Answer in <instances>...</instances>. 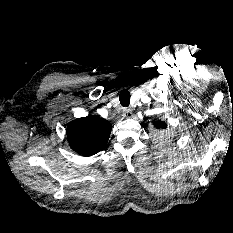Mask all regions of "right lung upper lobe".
Instances as JSON below:
<instances>
[{
  "label": "right lung upper lobe",
  "instance_id": "obj_1",
  "mask_svg": "<svg viewBox=\"0 0 233 233\" xmlns=\"http://www.w3.org/2000/svg\"><path fill=\"white\" fill-rule=\"evenodd\" d=\"M111 128L109 121L96 116L76 119L67 127L69 145L82 156L94 155L105 148Z\"/></svg>",
  "mask_w": 233,
  "mask_h": 233
}]
</instances>
